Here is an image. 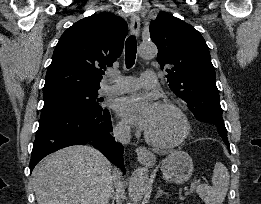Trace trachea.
I'll return each mask as SVG.
<instances>
[{"label": "trachea", "instance_id": "obj_1", "mask_svg": "<svg viewBox=\"0 0 261 204\" xmlns=\"http://www.w3.org/2000/svg\"><path fill=\"white\" fill-rule=\"evenodd\" d=\"M136 53H137V43L135 36H130L127 38L125 43V61H126V67L131 68L136 59Z\"/></svg>", "mask_w": 261, "mask_h": 204}]
</instances>
